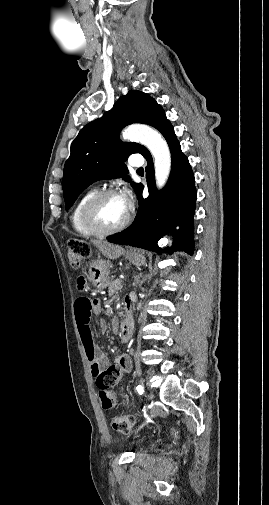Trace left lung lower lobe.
Segmentation results:
<instances>
[{"label":"left lung lower lobe","instance_id":"1","mask_svg":"<svg viewBox=\"0 0 269 505\" xmlns=\"http://www.w3.org/2000/svg\"><path fill=\"white\" fill-rule=\"evenodd\" d=\"M154 127L165 137L171 151L172 165L168 182L162 191L156 190L152 156L147 152L144 157L148 161L146 178L149 196L145 199L142 197L144 186L140 184L136 192L139 209L133 224L108 241L160 253L158 240L171 232L175 241L173 251L192 254L196 202L194 174L166 116ZM175 226H180L177 232ZM172 249L169 248V251Z\"/></svg>","mask_w":269,"mask_h":505}]
</instances>
